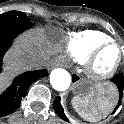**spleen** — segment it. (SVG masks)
I'll return each mask as SVG.
<instances>
[{
  "instance_id": "3e777b00",
  "label": "spleen",
  "mask_w": 124,
  "mask_h": 124,
  "mask_svg": "<svg viewBox=\"0 0 124 124\" xmlns=\"http://www.w3.org/2000/svg\"><path fill=\"white\" fill-rule=\"evenodd\" d=\"M71 102L73 108L82 118L93 122L105 117L113 105V100L106 94L87 97L74 96Z\"/></svg>"
}]
</instances>
